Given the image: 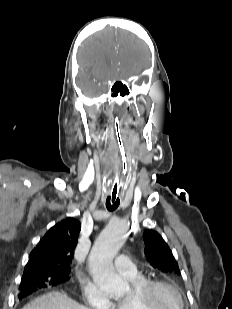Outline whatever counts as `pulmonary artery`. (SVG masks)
I'll return each mask as SVG.
<instances>
[{
    "instance_id": "pulmonary-artery-1",
    "label": "pulmonary artery",
    "mask_w": 232,
    "mask_h": 309,
    "mask_svg": "<svg viewBox=\"0 0 232 309\" xmlns=\"http://www.w3.org/2000/svg\"><path fill=\"white\" fill-rule=\"evenodd\" d=\"M115 267L120 274L126 277H134L139 274L136 265L125 254H120L116 257Z\"/></svg>"
}]
</instances>
